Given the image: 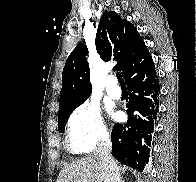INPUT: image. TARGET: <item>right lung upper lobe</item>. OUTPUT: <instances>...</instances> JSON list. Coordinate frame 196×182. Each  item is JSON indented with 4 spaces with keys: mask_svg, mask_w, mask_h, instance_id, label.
<instances>
[{
    "mask_svg": "<svg viewBox=\"0 0 196 182\" xmlns=\"http://www.w3.org/2000/svg\"><path fill=\"white\" fill-rule=\"evenodd\" d=\"M96 49L104 61L116 60V70L125 78L144 62L150 53L137 32L127 20L114 11H105L98 25ZM88 49L79 44L69 55L62 72V89L58 117L82 104L91 94L90 70L86 61Z\"/></svg>",
    "mask_w": 196,
    "mask_h": 182,
    "instance_id": "1",
    "label": "right lung upper lobe"
}]
</instances>
